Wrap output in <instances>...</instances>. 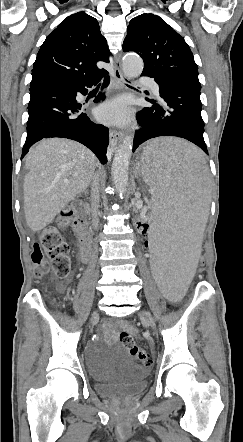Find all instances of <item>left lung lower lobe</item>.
<instances>
[{
    "mask_svg": "<svg viewBox=\"0 0 243 442\" xmlns=\"http://www.w3.org/2000/svg\"><path fill=\"white\" fill-rule=\"evenodd\" d=\"M142 75L153 77L159 84L162 103L147 99L153 106L143 108L138 113L137 120L142 127L135 134L133 152L151 138L177 136L191 141L208 154L203 138L199 80L185 77L160 78L148 71H143Z\"/></svg>",
    "mask_w": 243,
    "mask_h": 442,
    "instance_id": "obj_1",
    "label": "left lung lower lobe"
}]
</instances>
